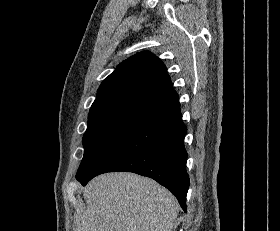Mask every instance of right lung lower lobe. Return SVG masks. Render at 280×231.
I'll list each match as a JSON object with an SVG mask.
<instances>
[{"mask_svg":"<svg viewBox=\"0 0 280 231\" xmlns=\"http://www.w3.org/2000/svg\"><path fill=\"white\" fill-rule=\"evenodd\" d=\"M187 127L180 106L137 123L108 143L76 179L85 186L93 177L114 171L134 172L168 188L186 212L189 176L183 141Z\"/></svg>","mask_w":280,"mask_h":231,"instance_id":"1","label":"right lung lower lobe"}]
</instances>
